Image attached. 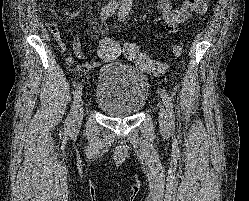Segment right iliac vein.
Here are the masks:
<instances>
[{
	"instance_id": "63e3f726",
	"label": "right iliac vein",
	"mask_w": 249,
	"mask_h": 201,
	"mask_svg": "<svg viewBox=\"0 0 249 201\" xmlns=\"http://www.w3.org/2000/svg\"><path fill=\"white\" fill-rule=\"evenodd\" d=\"M84 102L83 100L81 99L77 105V109H76V112H75V117H74V120H73V129H78L82 123V119H83V115H84Z\"/></svg>"
}]
</instances>
